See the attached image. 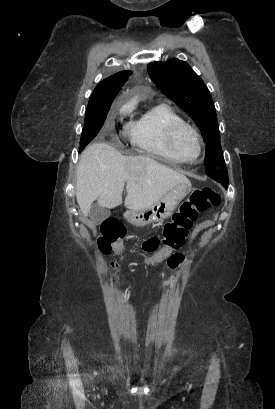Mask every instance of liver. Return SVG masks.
<instances>
[{
    "label": "liver",
    "mask_w": 275,
    "mask_h": 409,
    "mask_svg": "<svg viewBox=\"0 0 275 409\" xmlns=\"http://www.w3.org/2000/svg\"><path fill=\"white\" fill-rule=\"evenodd\" d=\"M76 174V198L84 217L94 200L107 209L121 205L124 184L126 209L142 211L176 184L189 182L185 174L150 156H124L106 142H94L83 150Z\"/></svg>",
    "instance_id": "1"
}]
</instances>
